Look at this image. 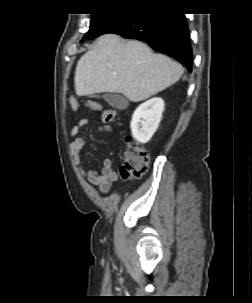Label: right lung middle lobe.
Segmentation results:
<instances>
[{"mask_svg":"<svg viewBox=\"0 0 252 303\" xmlns=\"http://www.w3.org/2000/svg\"><path fill=\"white\" fill-rule=\"evenodd\" d=\"M121 14L122 12L92 14L90 29L84 35L81 42L87 39H93L101 35L104 30L109 25H111Z\"/></svg>","mask_w":252,"mask_h":303,"instance_id":"right-lung-middle-lobe-1","label":"right lung middle lobe"}]
</instances>
